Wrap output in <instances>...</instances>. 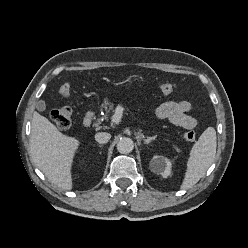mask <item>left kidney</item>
I'll use <instances>...</instances> for the list:
<instances>
[{
    "label": "left kidney",
    "mask_w": 248,
    "mask_h": 248,
    "mask_svg": "<svg viewBox=\"0 0 248 248\" xmlns=\"http://www.w3.org/2000/svg\"><path fill=\"white\" fill-rule=\"evenodd\" d=\"M171 167V161L164 156L155 155L150 162L151 170L154 173L161 174L164 178L171 175Z\"/></svg>",
    "instance_id": "left-kidney-1"
}]
</instances>
